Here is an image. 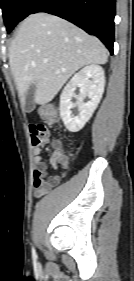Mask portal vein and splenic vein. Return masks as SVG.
<instances>
[{"mask_svg":"<svg viewBox=\"0 0 134 281\" xmlns=\"http://www.w3.org/2000/svg\"><path fill=\"white\" fill-rule=\"evenodd\" d=\"M44 62L46 63V62H48V60H47V59H45V60H44Z\"/></svg>","mask_w":134,"mask_h":281,"instance_id":"18ae733b","label":"portal vein and splenic vein"}]
</instances>
